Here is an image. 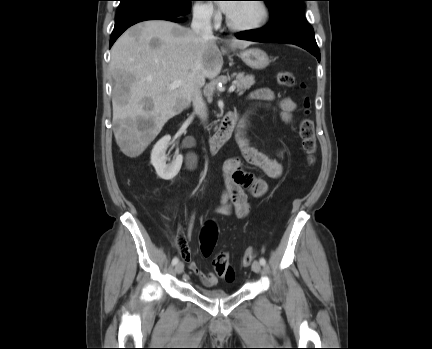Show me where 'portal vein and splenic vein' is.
<instances>
[{
    "instance_id": "obj_1",
    "label": "portal vein and splenic vein",
    "mask_w": 432,
    "mask_h": 349,
    "mask_svg": "<svg viewBox=\"0 0 432 349\" xmlns=\"http://www.w3.org/2000/svg\"><path fill=\"white\" fill-rule=\"evenodd\" d=\"M182 84H183V82L181 80H177V81H174L173 83H171L169 88L175 89V88H178L179 86H181ZM235 89H236L235 85H231L228 89V92L232 93Z\"/></svg>"
}]
</instances>
